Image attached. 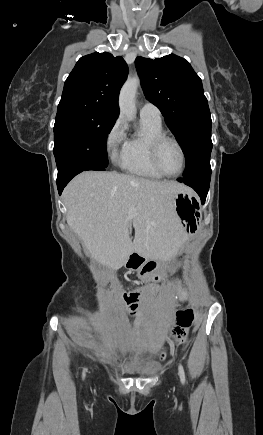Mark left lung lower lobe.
<instances>
[{
	"instance_id": "1",
	"label": "left lung lower lobe",
	"mask_w": 263,
	"mask_h": 435,
	"mask_svg": "<svg viewBox=\"0 0 263 435\" xmlns=\"http://www.w3.org/2000/svg\"><path fill=\"white\" fill-rule=\"evenodd\" d=\"M210 178L211 167L209 162L177 180L192 187L200 196L202 204H204L209 190Z\"/></svg>"
}]
</instances>
